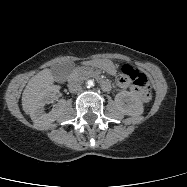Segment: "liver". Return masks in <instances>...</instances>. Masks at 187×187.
I'll return each instance as SVG.
<instances>
[{"mask_svg":"<svg viewBox=\"0 0 187 187\" xmlns=\"http://www.w3.org/2000/svg\"><path fill=\"white\" fill-rule=\"evenodd\" d=\"M55 78L50 69H44L30 79L22 93L23 111L34 121V114L42 102L45 91L53 87Z\"/></svg>","mask_w":187,"mask_h":187,"instance_id":"liver-1","label":"liver"}]
</instances>
